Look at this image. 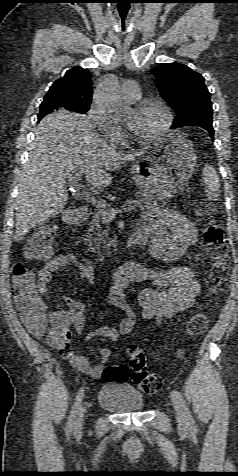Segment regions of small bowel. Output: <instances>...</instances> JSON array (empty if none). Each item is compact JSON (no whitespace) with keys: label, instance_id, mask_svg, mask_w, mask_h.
I'll return each mask as SVG.
<instances>
[{"label":"small bowel","instance_id":"c3829d8e","mask_svg":"<svg viewBox=\"0 0 238 476\" xmlns=\"http://www.w3.org/2000/svg\"><path fill=\"white\" fill-rule=\"evenodd\" d=\"M139 228L145 230L150 236L151 255L164 262H173L188 255L189 249L197 241L195 225L182 214L168 209L145 213ZM68 267H71L79 277L85 279L95 289L96 278L91 262L71 253H63L49 259L38 271V294H48L53 274ZM145 280L151 281L154 287L145 288L138 293L137 302L142 308L138 315L130 304L126 292L131 283ZM200 291V283L195 279L194 271L189 266H173L162 270L146 268L133 262L130 268H119L114 274V285L107 296L108 304L122 311L119 326L118 328L103 327L92 331L86 336V340L106 337L116 342L120 337L131 333L140 320L144 322L154 320L160 323L191 308ZM63 298L67 309L57 310L48 315L51 331L64 334L61 341L54 347L76 370L98 379L101 377L104 364L111 356V351L105 347L100 348L101 362L92 365L85 355L71 349L70 329L73 327L79 334L83 332L86 324L84 313L90 308L94 296L87 301H79L70 294L64 293ZM43 304L47 310L46 304L44 302Z\"/></svg>","mask_w":238,"mask_h":476}]
</instances>
